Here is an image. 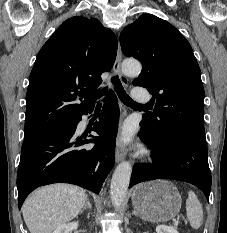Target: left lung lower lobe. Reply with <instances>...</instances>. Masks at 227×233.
Returning <instances> with one entry per match:
<instances>
[{
  "instance_id": "1",
  "label": "left lung lower lobe",
  "mask_w": 227,
  "mask_h": 233,
  "mask_svg": "<svg viewBox=\"0 0 227 233\" xmlns=\"http://www.w3.org/2000/svg\"><path fill=\"white\" fill-rule=\"evenodd\" d=\"M139 136L151 149L153 162L134 165L129 187L155 179L179 180L197 186L209 202L211 172L206 145L183 135L155 140L142 130Z\"/></svg>"
}]
</instances>
